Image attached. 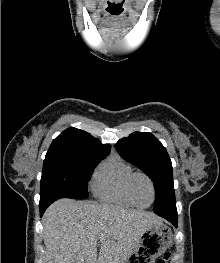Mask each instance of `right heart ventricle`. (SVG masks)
Returning <instances> with one entry per match:
<instances>
[{"instance_id":"1","label":"right heart ventricle","mask_w":220,"mask_h":263,"mask_svg":"<svg viewBox=\"0 0 220 263\" xmlns=\"http://www.w3.org/2000/svg\"><path fill=\"white\" fill-rule=\"evenodd\" d=\"M134 173L132 166L120 158L112 156L105 160L95 171L91 179V190L99 200L122 207L134 204L127 193V183Z\"/></svg>"}]
</instances>
